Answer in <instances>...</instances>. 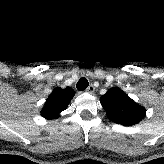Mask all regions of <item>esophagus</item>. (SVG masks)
I'll return each mask as SVG.
<instances>
[{"mask_svg": "<svg viewBox=\"0 0 164 164\" xmlns=\"http://www.w3.org/2000/svg\"><path fill=\"white\" fill-rule=\"evenodd\" d=\"M88 93H94V91H95V87L91 84V85H89L88 86V88H87V90H86Z\"/></svg>", "mask_w": 164, "mask_h": 164, "instance_id": "1", "label": "esophagus"}]
</instances>
